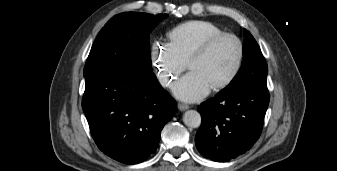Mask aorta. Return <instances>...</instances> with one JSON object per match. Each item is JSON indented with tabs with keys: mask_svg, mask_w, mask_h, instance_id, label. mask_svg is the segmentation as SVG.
Instances as JSON below:
<instances>
[{
	"mask_svg": "<svg viewBox=\"0 0 337 171\" xmlns=\"http://www.w3.org/2000/svg\"><path fill=\"white\" fill-rule=\"evenodd\" d=\"M183 122L188 127L197 128L201 124V116L195 110H188L183 115Z\"/></svg>",
	"mask_w": 337,
	"mask_h": 171,
	"instance_id": "762f6f07",
	"label": "aorta"
}]
</instances>
